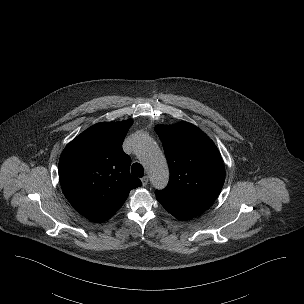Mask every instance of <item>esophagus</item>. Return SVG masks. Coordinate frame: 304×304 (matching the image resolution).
I'll return each mask as SVG.
<instances>
[{
  "instance_id": "esophagus-1",
  "label": "esophagus",
  "mask_w": 304,
  "mask_h": 304,
  "mask_svg": "<svg viewBox=\"0 0 304 304\" xmlns=\"http://www.w3.org/2000/svg\"><path fill=\"white\" fill-rule=\"evenodd\" d=\"M148 176H144L143 178H141V182L143 186H146L148 184Z\"/></svg>"
}]
</instances>
